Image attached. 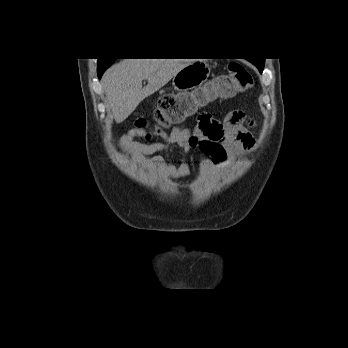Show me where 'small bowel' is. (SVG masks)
Here are the masks:
<instances>
[{
  "label": "small bowel",
  "instance_id": "c3829d8e",
  "mask_svg": "<svg viewBox=\"0 0 348 348\" xmlns=\"http://www.w3.org/2000/svg\"><path fill=\"white\" fill-rule=\"evenodd\" d=\"M254 123L240 110L227 113L224 121L216 123L208 113H201L195 128L176 127L169 134H162V142L132 145L126 140L124 148L135 162L147 169L161 168L173 178H183L189 174V163L183 158L179 165L165 161L162 153L171 146H177L182 155L199 151V169L207 176L213 168L226 165L229 157H240L255 143L251 128Z\"/></svg>",
  "mask_w": 348,
  "mask_h": 348
}]
</instances>
